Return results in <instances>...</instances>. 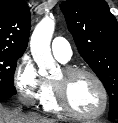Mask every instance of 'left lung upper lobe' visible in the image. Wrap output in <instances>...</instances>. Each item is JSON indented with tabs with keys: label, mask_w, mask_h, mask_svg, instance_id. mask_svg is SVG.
<instances>
[{
	"label": "left lung upper lobe",
	"mask_w": 118,
	"mask_h": 123,
	"mask_svg": "<svg viewBox=\"0 0 118 123\" xmlns=\"http://www.w3.org/2000/svg\"><path fill=\"white\" fill-rule=\"evenodd\" d=\"M78 51L104 84L109 117L118 119V23L104 0H66L60 5Z\"/></svg>",
	"instance_id": "left-lung-upper-lobe-1"
}]
</instances>
